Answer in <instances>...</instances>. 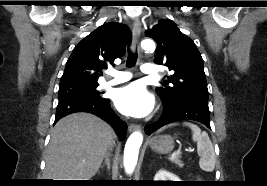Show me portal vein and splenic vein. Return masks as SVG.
Returning a JSON list of instances; mask_svg holds the SVG:
<instances>
[{
  "label": "portal vein and splenic vein",
  "instance_id": "obj_1",
  "mask_svg": "<svg viewBox=\"0 0 267 186\" xmlns=\"http://www.w3.org/2000/svg\"><path fill=\"white\" fill-rule=\"evenodd\" d=\"M177 152H174L173 154H172V156H171V159H174L176 156H177Z\"/></svg>",
  "mask_w": 267,
  "mask_h": 186
}]
</instances>
